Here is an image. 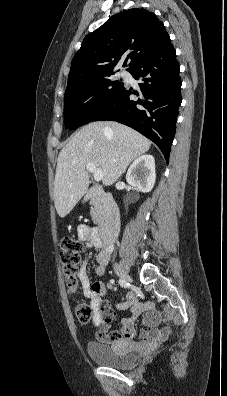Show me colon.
<instances>
[{"label":"colon","instance_id":"5ec220e1","mask_svg":"<svg viewBox=\"0 0 227 396\" xmlns=\"http://www.w3.org/2000/svg\"><path fill=\"white\" fill-rule=\"evenodd\" d=\"M82 250V243L71 237H66L61 242L60 262L67 286L72 292L76 291L79 285L76 275ZM75 315L81 323H88L93 317V308L89 304L78 303L75 306Z\"/></svg>","mask_w":227,"mask_h":396}]
</instances>
